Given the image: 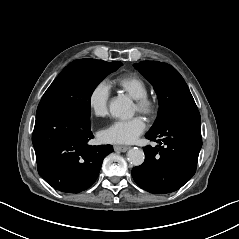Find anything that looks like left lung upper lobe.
Here are the masks:
<instances>
[{"label": "left lung upper lobe", "instance_id": "1", "mask_svg": "<svg viewBox=\"0 0 239 239\" xmlns=\"http://www.w3.org/2000/svg\"><path fill=\"white\" fill-rule=\"evenodd\" d=\"M134 66L154 86L158 95V118L150 131L158 129L176 113L197 109L183 77L172 66L158 61H142Z\"/></svg>", "mask_w": 239, "mask_h": 239}]
</instances>
